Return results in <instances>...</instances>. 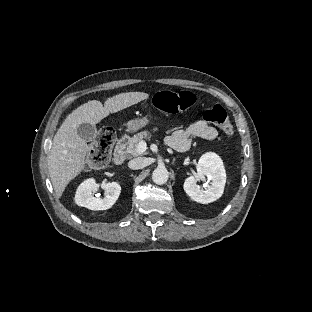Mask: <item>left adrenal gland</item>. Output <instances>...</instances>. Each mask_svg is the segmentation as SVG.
Here are the masks:
<instances>
[{"label": "left adrenal gland", "mask_w": 312, "mask_h": 312, "mask_svg": "<svg viewBox=\"0 0 312 312\" xmlns=\"http://www.w3.org/2000/svg\"><path fill=\"white\" fill-rule=\"evenodd\" d=\"M176 158H177V156H176V157H174V159H173V161H172V165H174V164H175Z\"/></svg>", "instance_id": "left-adrenal-gland-1"}]
</instances>
